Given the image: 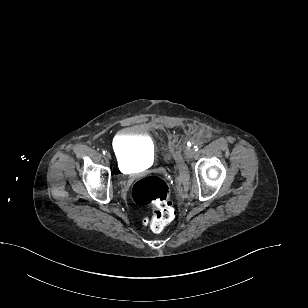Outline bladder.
<instances>
[{
	"instance_id": "obj_1",
	"label": "bladder",
	"mask_w": 308,
	"mask_h": 308,
	"mask_svg": "<svg viewBox=\"0 0 308 308\" xmlns=\"http://www.w3.org/2000/svg\"><path fill=\"white\" fill-rule=\"evenodd\" d=\"M112 148L123 170L146 165L155 159L154 142L139 126H130L120 131L113 140Z\"/></svg>"
}]
</instances>
